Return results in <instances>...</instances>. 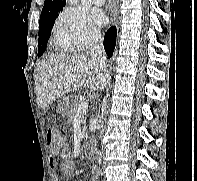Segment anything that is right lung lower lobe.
<instances>
[{"instance_id":"right-lung-lower-lobe-1","label":"right lung lower lobe","mask_w":197,"mask_h":181,"mask_svg":"<svg viewBox=\"0 0 197 181\" xmlns=\"http://www.w3.org/2000/svg\"><path fill=\"white\" fill-rule=\"evenodd\" d=\"M116 27L112 26L106 33L104 37V49L108 55V57H111L114 49H115V43H116Z\"/></svg>"}]
</instances>
